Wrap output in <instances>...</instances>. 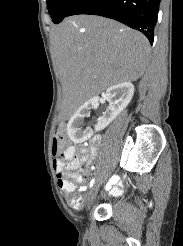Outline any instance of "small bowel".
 <instances>
[{"mask_svg": "<svg viewBox=\"0 0 183 246\" xmlns=\"http://www.w3.org/2000/svg\"><path fill=\"white\" fill-rule=\"evenodd\" d=\"M100 142V136L93 137L90 145L82 147L78 154L76 153V147L71 145L65 150L63 160L57 159L54 161V171L57 176L58 186L64 193L70 194L75 190V188L70 187L69 176L89 157L95 155ZM112 177L113 179H120L121 176L120 174H113ZM79 181H81V178H79ZM116 184V180H107L106 184H102V189H111L110 193L112 195H119L122 193V184ZM85 188L86 187L82 185L79 189L83 191Z\"/></svg>", "mask_w": 183, "mask_h": 246, "instance_id": "c3829d8e", "label": "small bowel"}]
</instances>
